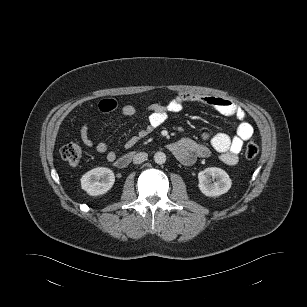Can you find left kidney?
I'll return each mask as SVG.
<instances>
[{
  "label": "left kidney",
  "instance_id": "1",
  "mask_svg": "<svg viewBox=\"0 0 307 307\" xmlns=\"http://www.w3.org/2000/svg\"><path fill=\"white\" fill-rule=\"evenodd\" d=\"M212 179L216 181L212 183ZM200 191L209 197H216L226 193L232 185L229 175L221 168L210 167L198 173Z\"/></svg>",
  "mask_w": 307,
  "mask_h": 307
}]
</instances>
